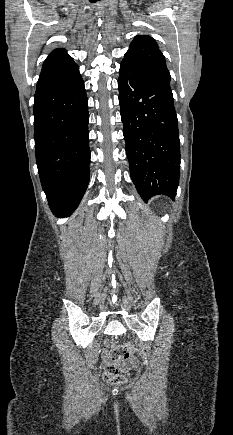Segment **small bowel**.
I'll return each mask as SVG.
<instances>
[{"mask_svg":"<svg viewBox=\"0 0 233 435\" xmlns=\"http://www.w3.org/2000/svg\"><path fill=\"white\" fill-rule=\"evenodd\" d=\"M135 364H136V361H135V360H132V361L130 362L129 366H134Z\"/></svg>","mask_w":233,"mask_h":435,"instance_id":"c3829d8e","label":"small bowel"}]
</instances>
